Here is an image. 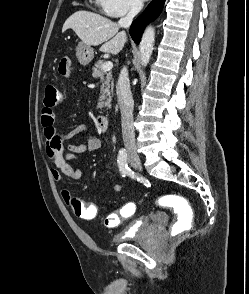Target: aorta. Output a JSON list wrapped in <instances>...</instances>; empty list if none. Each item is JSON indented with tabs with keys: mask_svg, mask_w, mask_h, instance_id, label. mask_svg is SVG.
<instances>
[{
	"mask_svg": "<svg viewBox=\"0 0 249 294\" xmlns=\"http://www.w3.org/2000/svg\"><path fill=\"white\" fill-rule=\"evenodd\" d=\"M154 42L155 31L153 27L149 26L145 29L139 44L140 59L143 66H146L149 63L153 52Z\"/></svg>",
	"mask_w": 249,
	"mask_h": 294,
	"instance_id": "obj_1",
	"label": "aorta"
}]
</instances>
